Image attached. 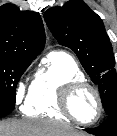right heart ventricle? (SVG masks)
I'll use <instances>...</instances> for the list:
<instances>
[{
  "label": "right heart ventricle",
  "mask_w": 117,
  "mask_h": 136,
  "mask_svg": "<svg viewBox=\"0 0 117 136\" xmlns=\"http://www.w3.org/2000/svg\"><path fill=\"white\" fill-rule=\"evenodd\" d=\"M85 77L75 59L64 51L50 52L37 70L30 85L23 111L31 117L69 120L60 110L61 89Z\"/></svg>",
  "instance_id": "right-heart-ventricle-1"
}]
</instances>
